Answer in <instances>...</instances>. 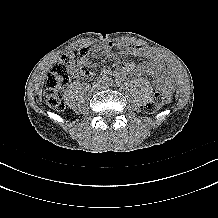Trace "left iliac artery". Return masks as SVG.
I'll use <instances>...</instances> for the list:
<instances>
[{
    "label": "left iliac artery",
    "instance_id": "obj_1",
    "mask_svg": "<svg viewBox=\"0 0 218 218\" xmlns=\"http://www.w3.org/2000/svg\"><path fill=\"white\" fill-rule=\"evenodd\" d=\"M107 83H108L109 85H112V84H113V82L110 81V80H107Z\"/></svg>",
    "mask_w": 218,
    "mask_h": 218
}]
</instances>
